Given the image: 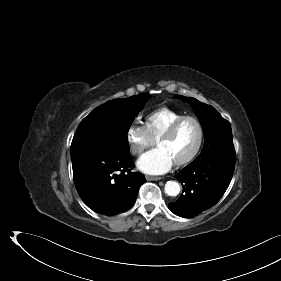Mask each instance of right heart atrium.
Masks as SVG:
<instances>
[{
    "instance_id": "obj_1",
    "label": "right heart atrium",
    "mask_w": 281,
    "mask_h": 281,
    "mask_svg": "<svg viewBox=\"0 0 281 281\" xmlns=\"http://www.w3.org/2000/svg\"><path fill=\"white\" fill-rule=\"evenodd\" d=\"M126 139L131 153L137 156L141 155L145 150L155 144L146 126L137 122H133L128 127Z\"/></svg>"
}]
</instances>
